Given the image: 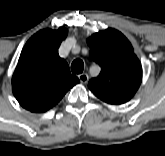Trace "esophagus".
Returning a JSON list of instances; mask_svg holds the SVG:
<instances>
[{
    "label": "esophagus",
    "mask_w": 165,
    "mask_h": 156,
    "mask_svg": "<svg viewBox=\"0 0 165 156\" xmlns=\"http://www.w3.org/2000/svg\"><path fill=\"white\" fill-rule=\"evenodd\" d=\"M78 78H79L81 83H87L88 79H89V77L86 73L79 74Z\"/></svg>",
    "instance_id": "34e87169"
}]
</instances>
